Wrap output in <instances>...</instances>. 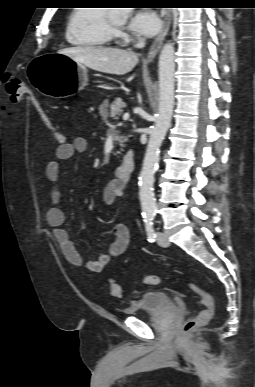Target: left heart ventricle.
<instances>
[{"label":"left heart ventricle","instance_id":"1","mask_svg":"<svg viewBox=\"0 0 255 387\" xmlns=\"http://www.w3.org/2000/svg\"><path fill=\"white\" fill-rule=\"evenodd\" d=\"M113 23H114L116 26H120V23L117 22V21H115V20H113Z\"/></svg>","mask_w":255,"mask_h":387}]
</instances>
